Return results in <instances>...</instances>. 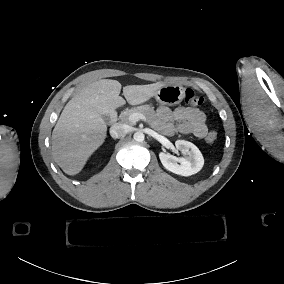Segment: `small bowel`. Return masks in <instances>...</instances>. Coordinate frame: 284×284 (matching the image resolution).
<instances>
[{"label": "small bowel", "mask_w": 284, "mask_h": 284, "mask_svg": "<svg viewBox=\"0 0 284 284\" xmlns=\"http://www.w3.org/2000/svg\"><path fill=\"white\" fill-rule=\"evenodd\" d=\"M156 115V125L166 135L193 134L198 138H204L207 135L206 116L199 109L190 107L170 109L160 106Z\"/></svg>", "instance_id": "c3829d8e"}]
</instances>
